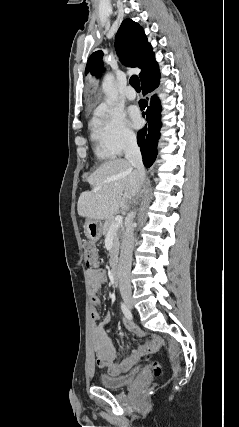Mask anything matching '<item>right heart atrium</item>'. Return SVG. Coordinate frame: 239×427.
<instances>
[{
	"instance_id": "right-heart-atrium-1",
	"label": "right heart atrium",
	"mask_w": 239,
	"mask_h": 427,
	"mask_svg": "<svg viewBox=\"0 0 239 427\" xmlns=\"http://www.w3.org/2000/svg\"><path fill=\"white\" fill-rule=\"evenodd\" d=\"M97 126L107 147L114 155H122L136 144V135L117 109L101 106L97 111Z\"/></svg>"
}]
</instances>
